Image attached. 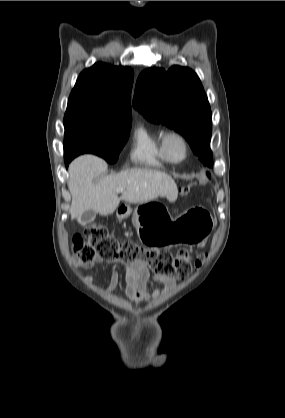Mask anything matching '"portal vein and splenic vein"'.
Listing matches in <instances>:
<instances>
[{"label":"portal vein and splenic vein","instance_id":"1","mask_svg":"<svg viewBox=\"0 0 285 418\" xmlns=\"http://www.w3.org/2000/svg\"><path fill=\"white\" fill-rule=\"evenodd\" d=\"M124 191V189L123 188H119V189H117V193H121V192H123Z\"/></svg>","mask_w":285,"mask_h":418}]
</instances>
